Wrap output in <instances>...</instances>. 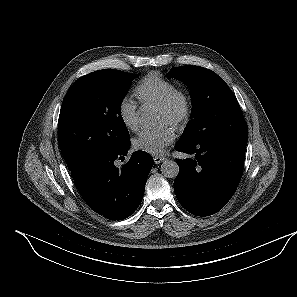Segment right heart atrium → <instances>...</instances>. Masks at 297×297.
Instances as JSON below:
<instances>
[{"mask_svg": "<svg viewBox=\"0 0 297 297\" xmlns=\"http://www.w3.org/2000/svg\"><path fill=\"white\" fill-rule=\"evenodd\" d=\"M117 113L122 124L131 131L139 127V108L137 103L130 97L124 96L120 99Z\"/></svg>", "mask_w": 297, "mask_h": 297, "instance_id": "1", "label": "right heart atrium"}]
</instances>
